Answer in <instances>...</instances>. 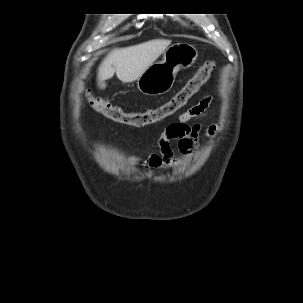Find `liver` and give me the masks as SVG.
I'll return each instance as SVG.
<instances>
[{"instance_id": "liver-1", "label": "liver", "mask_w": 303, "mask_h": 303, "mask_svg": "<svg viewBox=\"0 0 303 303\" xmlns=\"http://www.w3.org/2000/svg\"><path fill=\"white\" fill-rule=\"evenodd\" d=\"M170 44V40L155 39L113 50L98 69V85L100 88H105V80L112 78L115 73L123 83L137 80Z\"/></svg>"}]
</instances>
